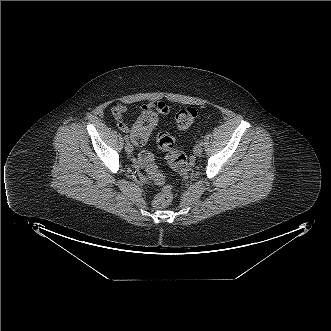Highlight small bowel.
<instances>
[{"label": "small bowel", "instance_id": "c3829d8e", "mask_svg": "<svg viewBox=\"0 0 331 331\" xmlns=\"http://www.w3.org/2000/svg\"><path fill=\"white\" fill-rule=\"evenodd\" d=\"M144 109H152L163 115H166L170 112L169 105H167L166 103H164L162 101H152V102L148 103L147 105L143 106L142 110H144ZM127 110H128V108L125 104H117L112 108V115L116 121V125L119 128V130L124 133H129L132 138L135 133V125L130 126L123 119V116L127 112ZM144 144H142V145H144ZM142 145H138V146H142ZM143 155H151V154L149 152H142L139 156L140 162L142 160Z\"/></svg>", "mask_w": 331, "mask_h": 331}]
</instances>
